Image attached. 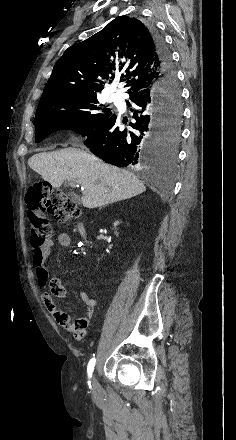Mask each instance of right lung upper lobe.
<instances>
[{
    "label": "right lung upper lobe",
    "mask_w": 236,
    "mask_h": 440,
    "mask_svg": "<svg viewBox=\"0 0 236 440\" xmlns=\"http://www.w3.org/2000/svg\"><path fill=\"white\" fill-rule=\"evenodd\" d=\"M161 68L149 28L121 16L83 42L69 47L56 62L40 101L70 94H96L120 77L127 93L160 79Z\"/></svg>",
    "instance_id": "1"
}]
</instances>
